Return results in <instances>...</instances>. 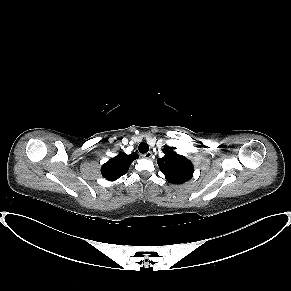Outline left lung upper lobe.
<instances>
[{"label":"left lung upper lobe","mask_w":291,"mask_h":291,"mask_svg":"<svg viewBox=\"0 0 291 291\" xmlns=\"http://www.w3.org/2000/svg\"><path fill=\"white\" fill-rule=\"evenodd\" d=\"M164 157L157 159L161 172L168 182L182 184L193 177V164L186 157L177 154L170 147L163 149Z\"/></svg>","instance_id":"left-lung-upper-lobe-1"}]
</instances>
